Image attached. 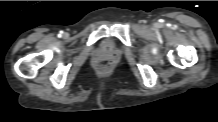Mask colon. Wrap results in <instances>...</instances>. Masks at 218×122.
Here are the masks:
<instances>
[{
    "label": "colon",
    "instance_id": "colon-1",
    "mask_svg": "<svg viewBox=\"0 0 218 122\" xmlns=\"http://www.w3.org/2000/svg\"><path fill=\"white\" fill-rule=\"evenodd\" d=\"M113 66V63L110 59L108 58H102L101 60L98 61L97 63V68L101 72H107L109 71Z\"/></svg>",
    "mask_w": 218,
    "mask_h": 122
}]
</instances>
